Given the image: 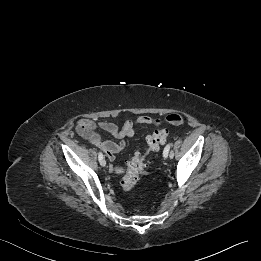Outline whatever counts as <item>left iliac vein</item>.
<instances>
[{
	"label": "left iliac vein",
	"mask_w": 261,
	"mask_h": 261,
	"mask_svg": "<svg viewBox=\"0 0 261 261\" xmlns=\"http://www.w3.org/2000/svg\"><path fill=\"white\" fill-rule=\"evenodd\" d=\"M174 153L171 151L170 154H169V157L171 158V156H173ZM164 158H167V157H164Z\"/></svg>",
	"instance_id": "1"
}]
</instances>
